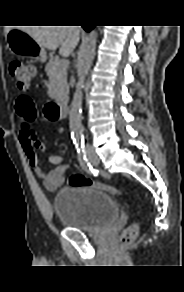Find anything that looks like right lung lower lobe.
<instances>
[{
	"instance_id": "obj_1",
	"label": "right lung lower lobe",
	"mask_w": 184,
	"mask_h": 292,
	"mask_svg": "<svg viewBox=\"0 0 184 292\" xmlns=\"http://www.w3.org/2000/svg\"><path fill=\"white\" fill-rule=\"evenodd\" d=\"M82 27H83L87 32H89L94 26L83 25Z\"/></svg>"
}]
</instances>
